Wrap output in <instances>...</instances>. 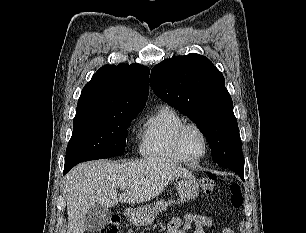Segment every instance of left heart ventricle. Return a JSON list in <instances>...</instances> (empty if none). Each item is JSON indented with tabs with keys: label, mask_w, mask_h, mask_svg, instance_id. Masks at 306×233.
Wrapping results in <instances>:
<instances>
[{
	"label": "left heart ventricle",
	"mask_w": 306,
	"mask_h": 233,
	"mask_svg": "<svg viewBox=\"0 0 306 233\" xmlns=\"http://www.w3.org/2000/svg\"><path fill=\"white\" fill-rule=\"evenodd\" d=\"M182 148L188 158H197L204 151L201 135L193 128L187 129L182 136Z\"/></svg>",
	"instance_id": "1"
}]
</instances>
